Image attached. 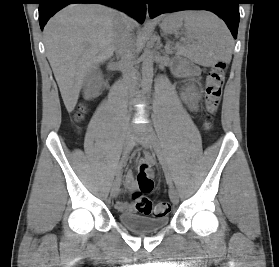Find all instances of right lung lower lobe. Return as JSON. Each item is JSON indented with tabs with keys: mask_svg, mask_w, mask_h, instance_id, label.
I'll use <instances>...</instances> for the list:
<instances>
[{
	"mask_svg": "<svg viewBox=\"0 0 279 267\" xmlns=\"http://www.w3.org/2000/svg\"><path fill=\"white\" fill-rule=\"evenodd\" d=\"M72 3H99L105 4L126 12L139 22H144L146 16L145 0H40L39 24L41 29L51 16L61 8Z\"/></svg>",
	"mask_w": 279,
	"mask_h": 267,
	"instance_id": "98d812e1",
	"label": "right lung lower lobe"
}]
</instances>
